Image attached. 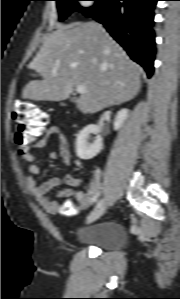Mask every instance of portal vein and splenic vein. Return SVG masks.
<instances>
[{"label":"portal vein and splenic vein","instance_id":"portal-vein-and-splenic-vein-1","mask_svg":"<svg viewBox=\"0 0 180 299\" xmlns=\"http://www.w3.org/2000/svg\"><path fill=\"white\" fill-rule=\"evenodd\" d=\"M56 75V73L54 72L53 73V76H55ZM76 91H77V93H79V94H84L85 92H86V88L84 87V86H82V85H78L77 87H76Z\"/></svg>","mask_w":180,"mask_h":299}]
</instances>
